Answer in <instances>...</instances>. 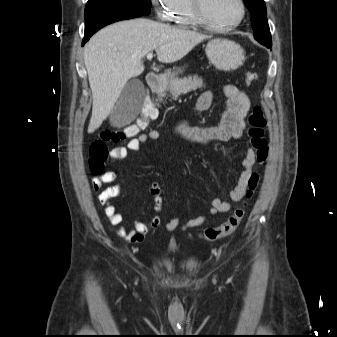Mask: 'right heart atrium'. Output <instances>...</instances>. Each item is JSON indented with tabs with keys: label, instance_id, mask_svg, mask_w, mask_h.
Masks as SVG:
<instances>
[{
	"label": "right heart atrium",
	"instance_id": "right-heart-atrium-1",
	"mask_svg": "<svg viewBox=\"0 0 337 337\" xmlns=\"http://www.w3.org/2000/svg\"><path fill=\"white\" fill-rule=\"evenodd\" d=\"M155 7L156 14L159 19L169 21L172 19V12L176 8L178 0H151Z\"/></svg>",
	"mask_w": 337,
	"mask_h": 337
}]
</instances>
